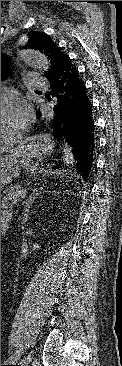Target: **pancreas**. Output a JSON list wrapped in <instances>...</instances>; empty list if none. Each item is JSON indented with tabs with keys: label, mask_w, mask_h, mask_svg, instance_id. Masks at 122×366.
<instances>
[{
	"label": "pancreas",
	"mask_w": 122,
	"mask_h": 366,
	"mask_svg": "<svg viewBox=\"0 0 122 366\" xmlns=\"http://www.w3.org/2000/svg\"><path fill=\"white\" fill-rule=\"evenodd\" d=\"M25 192L26 190L22 187V185H11L3 191L2 202L13 205L14 202L21 200Z\"/></svg>",
	"instance_id": "obj_1"
}]
</instances>
